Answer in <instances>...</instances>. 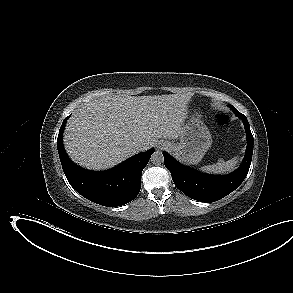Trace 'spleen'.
I'll return each mask as SVG.
<instances>
[{"label": "spleen", "instance_id": "obj_1", "mask_svg": "<svg viewBox=\"0 0 293 293\" xmlns=\"http://www.w3.org/2000/svg\"><path fill=\"white\" fill-rule=\"evenodd\" d=\"M237 163L238 157H234L226 162L223 160H219L216 164L203 166L200 168V170L214 174L227 173L233 171Z\"/></svg>", "mask_w": 293, "mask_h": 293}]
</instances>
